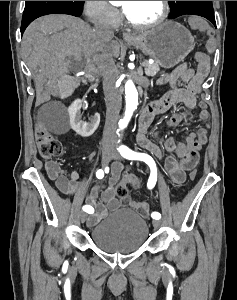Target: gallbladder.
<instances>
[{
	"label": "gallbladder",
	"mask_w": 237,
	"mask_h": 300,
	"mask_svg": "<svg viewBox=\"0 0 237 300\" xmlns=\"http://www.w3.org/2000/svg\"><path fill=\"white\" fill-rule=\"evenodd\" d=\"M73 76H60L58 84V94H61L62 99H67L68 94L74 93Z\"/></svg>",
	"instance_id": "1"
}]
</instances>
